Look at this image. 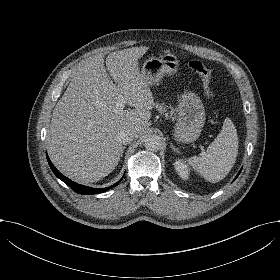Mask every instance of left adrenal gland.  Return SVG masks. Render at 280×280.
Masks as SVG:
<instances>
[{
	"label": "left adrenal gland",
	"instance_id": "left-adrenal-gland-1",
	"mask_svg": "<svg viewBox=\"0 0 280 280\" xmlns=\"http://www.w3.org/2000/svg\"><path fill=\"white\" fill-rule=\"evenodd\" d=\"M170 147L176 152H182L178 147H176L173 142H170Z\"/></svg>",
	"mask_w": 280,
	"mask_h": 280
}]
</instances>
